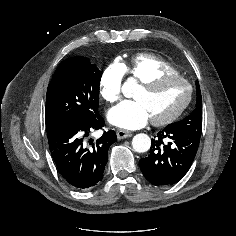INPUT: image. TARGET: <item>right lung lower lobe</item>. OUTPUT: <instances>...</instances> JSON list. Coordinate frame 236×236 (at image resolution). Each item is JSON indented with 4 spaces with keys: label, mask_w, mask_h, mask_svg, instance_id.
Listing matches in <instances>:
<instances>
[{
    "label": "right lung lower lobe",
    "mask_w": 236,
    "mask_h": 236,
    "mask_svg": "<svg viewBox=\"0 0 236 236\" xmlns=\"http://www.w3.org/2000/svg\"><path fill=\"white\" fill-rule=\"evenodd\" d=\"M99 114L86 120L58 125L47 132L52 158L62 177L74 188L87 190L103 178L108 149L117 141L113 130L104 131L96 141L88 140L89 133L104 127Z\"/></svg>",
    "instance_id": "1"
}]
</instances>
